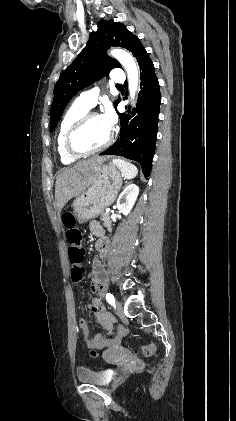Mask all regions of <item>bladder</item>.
<instances>
[{"mask_svg":"<svg viewBox=\"0 0 236 421\" xmlns=\"http://www.w3.org/2000/svg\"><path fill=\"white\" fill-rule=\"evenodd\" d=\"M77 381L95 386L106 385L104 375L102 373L95 372L92 368H84L78 371Z\"/></svg>","mask_w":236,"mask_h":421,"instance_id":"31cf9c89","label":"bladder"}]
</instances>
